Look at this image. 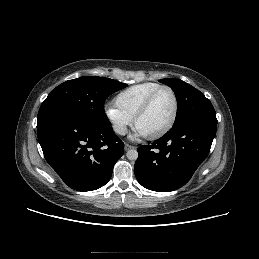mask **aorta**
<instances>
[{
    "mask_svg": "<svg viewBox=\"0 0 259 259\" xmlns=\"http://www.w3.org/2000/svg\"><path fill=\"white\" fill-rule=\"evenodd\" d=\"M127 158L129 160H136L138 158V152L135 149H131L127 152Z\"/></svg>",
    "mask_w": 259,
    "mask_h": 259,
    "instance_id": "762f6f07",
    "label": "aorta"
}]
</instances>
